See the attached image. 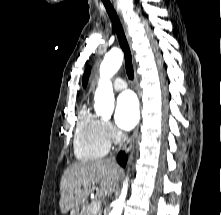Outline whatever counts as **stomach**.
I'll list each match as a JSON object with an SVG mask.
<instances>
[{
  "label": "stomach",
  "mask_w": 221,
  "mask_h": 215,
  "mask_svg": "<svg viewBox=\"0 0 221 215\" xmlns=\"http://www.w3.org/2000/svg\"><path fill=\"white\" fill-rule=\"evenodd\" d=\"M70 215H78L76 211H71Z\"/></svg>",
  "instance_id": "stomach-1"
}]
</instances>
